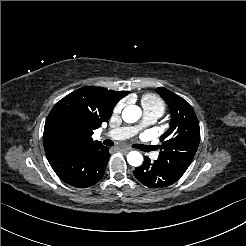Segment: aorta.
Here are the masks:
<instances>
[{
    "mask_svg": "<svg viewBox=\"0 0 246 246\" xmlns=\"http://www.w3.org/2000/svg\"><path fill=\"white\" fill-rule=\"evenodd\" d=\"M141 109L136 105H129L122 111V118L127 123H134L140 119ZM127 161L131 166L139 167L143 163V156L138 151H131L127 155Z\"/></svg>",
    "mask_w": 246,
    "mask_h": 246,
    "instance_id": "1",
    "label": "aorta"
}]
</instances>
